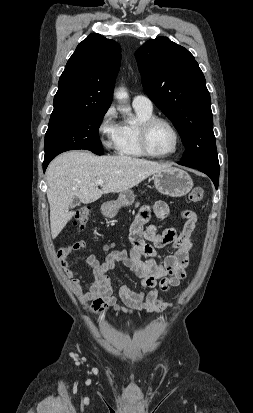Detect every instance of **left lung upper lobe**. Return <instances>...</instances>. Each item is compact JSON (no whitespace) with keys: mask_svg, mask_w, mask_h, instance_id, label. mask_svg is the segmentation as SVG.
Masks as SVG:
<instances>
[{"mask_svg":"<svg viewBox=\"0 0 253 413\" xmlns=\"http://www.w3.org/2000/svg\"><path fill=\"white\" fill-rule=\"evenodd\" d=\"M135 56L144 91L173 122L186 148L178 163L219 170L210 94L193 55L167 37H157Z\"/></svg>","mask_w":253,"mask_h":413,"instance_id":"obj_1","label":"left lung upper lobe"}]
</instances>
